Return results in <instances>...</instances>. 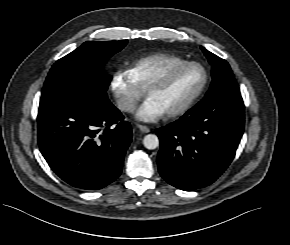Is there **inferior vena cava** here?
I'll return each mask as SVG.
<instances>
[{
	"mask_svg": "<svg viewBox=\"0 0 290 245\" xmlns=\"http://www.w3.org/2000/svg\"><path fill=\"white\" fill-rule=\"evenodd\" d=\"M117 104H118V108L125 112H132L135 109L134 102L127 97L120 98Z\"/></svg>",
	"mask_w": 290,
	"mask_h": 245,
	"instance_id": "obj_1",
	"label": "inferior vena cava"
}]
</instances>
